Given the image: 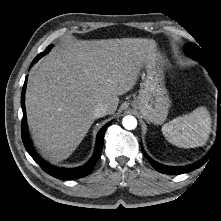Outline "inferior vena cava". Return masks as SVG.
Segmentation results:
<instances>
[{"label": "inferior vena cava", "instance_id": "obj_1", "mask_svg": "<svg viewBox=\"0 0 221 221\" xmlns=\"http://www.w3.org/2000/svg\"><path fill=\"white\" fill-rule=\"evenodd\" d=\"M109 112L108 106L106 104H98L94 111H93V115L95 118H100L103 117L105 115H107Z\"/></svg>", "mask_w": 221, "mask_h": 221}]
</instances>
